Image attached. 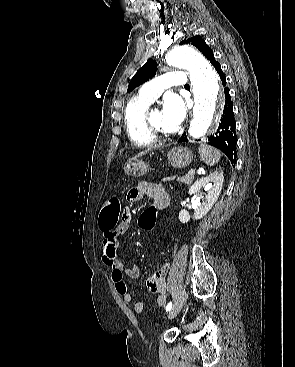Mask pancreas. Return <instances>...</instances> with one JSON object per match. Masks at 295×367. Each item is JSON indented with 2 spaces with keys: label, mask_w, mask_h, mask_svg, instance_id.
Masks as SVG:
<instances>
[{
  "label": "pancreas",
  "mask_w": 295,
  "mask_h": 367,
  "mask_svg": "<svg viewBox=\"0 0 295 367\" xmlns=\"http://www.w3.org/2000/svg\"><path fill=\"white\" fill-rule=\"evenodd\" d=\"M176 176H171V177H165L163 178V181H171V180H175ZM177 181L179 182H183L185 184H190L193 181V176L192 175H185V176H181L177 178Z\"/></svg>",
  "instance_id": "cf45deb5"
}]
</instances>
